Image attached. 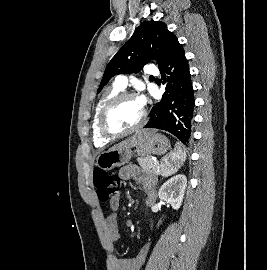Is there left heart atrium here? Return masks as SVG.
Masks as SVG:
<instances>
[{
	"label": "left heart atrium",
	"mask_w": 267,
	"mask_h": 270,
	"mask_svg": "<svg viewBox=\"0 0 267 270\" xmlns=\"http://www.w3.org/2000/svg\"><path fill=\"white\" fill-rule=\"evenodd\" d=\"M136 100H137L138 104L140 105V107L143 108L145 103H146L145 96L140 95Z\"/></svg>",
	"instance_id": "obj_1"
}]
</instances>
